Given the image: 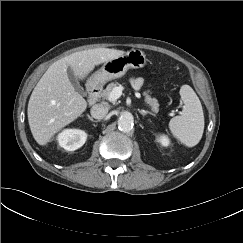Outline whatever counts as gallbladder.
Instances as JSON below:
<instances>
[{
    "instance_id": "bac80fb5",
    "label": "gallbladder",
    "mask_w": 243,
    "mask_h": 243,
    "mask_svg": "<svg viewBox=\"0 0 243 243\" xmlns=\"http://www.w3.org/2000/svg\"><path fill=\"white\" fill-rule=\"evenodd\" d=\"M67 74H68L69 80H70L71 84L73 85V87L75 88V90L80 94H84V89L80 85V83H79L78 79L76 78L71 67L67 68Z\"/></svg>"
}]
</instances>
